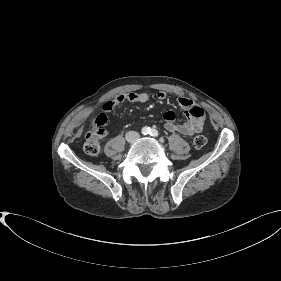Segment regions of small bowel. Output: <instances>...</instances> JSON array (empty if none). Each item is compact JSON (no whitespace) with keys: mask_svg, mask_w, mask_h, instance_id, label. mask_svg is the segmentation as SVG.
Listing matches in <instances>:
<instances>
[{"mask_svg":"<svg viewBox=\"0 0 281 281\" xmlns=\"http://www.w3.org/2000/svg\"><path fill=\"white\" fill-rule=\"evenodd\" d=\"M156 97L158 100L164 101L167 98V94L163 91H159ZM149 98L150 96L146 92H131L127 94H121L115 99L105 102L102 109L105 112H111L117 106L126 101L146 103ZM177 103L183 109L187 120L184 123H176L175 113L172 111H166L163 114L165 129L169 132L180 133L185 136H191L201 132L205 123V112L203 108L195 104L192 100L184 97H179L177 99Z\"/></svg>","mask_w":281,"mask_h":281,"instance_id":"1","label":"small bowel"}]
</instances>
